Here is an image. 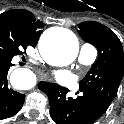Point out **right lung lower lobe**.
Instances as JSON below:
<instances>
[{"label": "right lung lower lobe", "mask_w": 124, "mask_h": 124, "mask_svg": "<svg viewBox=\"0 0 124 124\" xmlns=\"http://www.w3.org/2000/svg\"><path fill=\"white\" fill-rule=\"evenodd\" d=\"M12 59L0 57V120L9 118L19 112L25 95L12 90L8 85L7 75L13 64Z\"/></svg>", "instance_id": "98d812e1"}]
</instances>
